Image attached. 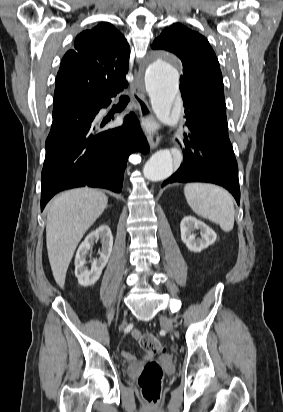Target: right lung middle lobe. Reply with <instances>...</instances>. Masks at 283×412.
<instances>
[{"instance_id":"1","label":"right lung middle lobe","mask_w":283,"mask_h":412,"mask_svg":"<svg viewBox=\"0 0 283 412\" xmlns=\"http://www.w3.org/2000/svg\"><path fill=\"white\" fill-rule=\"evenodd\" d=\"M91 103L90 102H86V101H82L79 102L77 104H75L74 106H72L71 108L64 110L62 112H59L57 114H53V119L54 120H62L64 119L67 115L72 114V113H76L81 111L82 109L86 108L87 106H89Z\"/></svg>"}]
</instances>
